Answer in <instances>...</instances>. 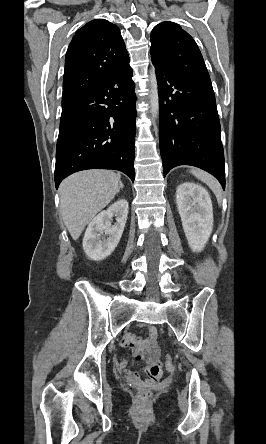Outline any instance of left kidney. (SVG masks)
Segmentation results:
<instances>
[{
	"label": "left kidney",
	"mask_w": 266,
	"mask_h": 444,
	"mask_svg": "<svg viewBox=\"0 0 266 444\" xmlns=\"http://www.w3.org/2000/svg\"><path fill=\"white\" fill-rule=\"evenodd\" d=\"M176 204L190 248L193 252L202 251L213 230V208L208 192L198 184L182 183L176 191Z\"/></svg>",
	"instance_id": "1"
}]
</instances>
